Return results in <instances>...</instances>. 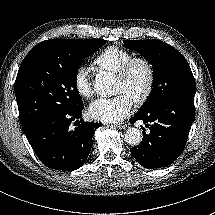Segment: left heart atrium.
I'll return each mask as SVG.
<instances>
[{
  "label": "left heart atrium",
  "mask_w": 215,
  "mask_h": 215,
  "mask_svg": "<svg viewBox=\"0 0 215 215\" xmlns=\"http://www.w3.org/2000/svg\"><path fill=\"white\" fill-rule=\"evenodd\" d=\"M132 105V99L126 94L97 99L89 107V116L93 120L103 123L118 122L130 113Z\"/></svg>",
  "instance_id": "obj_1"
}]
</instances>
